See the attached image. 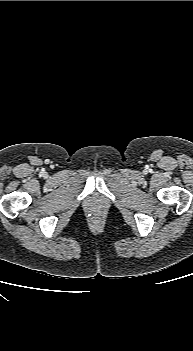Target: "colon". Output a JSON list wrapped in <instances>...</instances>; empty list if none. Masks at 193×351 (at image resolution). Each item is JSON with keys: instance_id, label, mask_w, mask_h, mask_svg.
Instances as JSON below:
<instances>
[{"instance_id": "1", "label": "colon", "mask_w": 193, "mask_h": 351, "mask_svg": "<svg viewBox=\"0 0 193 351\" xmlns=\"http://www.w3.org/2000/svg\"><path fill=\"white\" fill-rule=\"evenodd\" d=\"M94 222H97V220H96V219H94Z\"/></svg>"}]
</instances>
